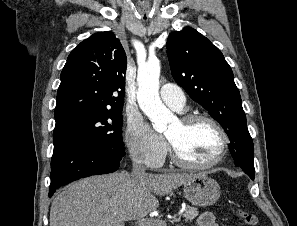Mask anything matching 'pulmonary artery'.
Segmentation results:
<instances>
[{
	"mask_svg": "<svg viewBox=\"0 0 297 226\" xmlns=\"http://www.w3.org/2000/svg\"><path fill=\"white\" fill-rule=\"evenodd\" d=\"M162 101L171 109L181 112L186 107V98L183 90L174 84H164L160 88Z\"/></svg>",
	"mask_w": 297,
	"mask_h": 226,
	"instance_id": "e3ab8cb5",
	"label": "pulmonary artery"
}]
</instances>
